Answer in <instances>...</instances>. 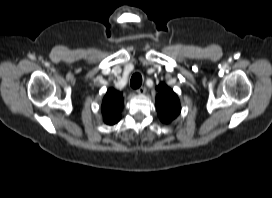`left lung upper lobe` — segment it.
<instances>
[{
    "mask_svg": "<svg viewBox=\"0 0 272 198\" xmlns=\"http://www.w3.org/2000/svg\"><path fill=\"white\" fill-rule=\"evenodd\" d=\"M157 90L156 108L162 122L169 123L175 119L180 111V102L177 95L166 84L161 83Z\"/></svg>",
    "mask_w": 272,
    "mask_h": 198,
    "instance_id": "left-lung-upper-lobe-1",
    "label": "left lung upper lobe"
}]
</instances>
